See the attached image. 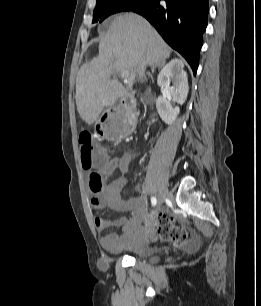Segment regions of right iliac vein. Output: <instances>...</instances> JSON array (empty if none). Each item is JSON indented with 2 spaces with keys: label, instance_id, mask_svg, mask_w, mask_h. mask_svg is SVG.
I'll use <instances>...</instances> for the list:
<instances>
[{
  "label": "right iliac vein",
  "instance_id": "63e3f726",
  "mask_svg": "<svg viewBox=\"0 0 261 306\" xmlns=\"http://www.w3.org/2000/svg\"><path fill=\"white\" fill-rule=\"evenodd\" d=\"M168 189L167 187H162L159 191L158 195V207L160 208L162 204L164 203L165 199L168 197Z\"/></svg>",
  "mask_w": 261,
  "mask_h": 306
}]
</instances>
